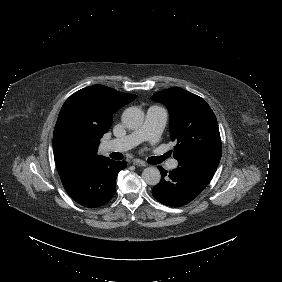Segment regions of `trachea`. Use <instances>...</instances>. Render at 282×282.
I'll return each mask as SVG.
<instances>
[{"label": "trachea", "mask_w": 282, "mask_h": 282, "mask_svg": "<svg viewBox=\"0 0 282 282\" xmlns=\"http://www.w3.org/2000/svg\"><path fill=\"white\" fill-rule=\"evenodd\" d=\"M170 153L167 152L166 154H164L163 156H161L162 161L165 160L166 158L170 157ZM110 157L115 159V160H121L123 158V155L121 153H117V152H113L110 154Z\"/></svg>", "instance_id": "trachea-1"}]
</instances>
